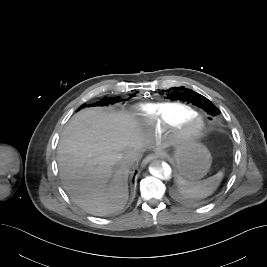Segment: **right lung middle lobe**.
<instances>
[{
  "mask_svg": "<svg viewBox=\"0 0 267 267\" xmlns=\"http://www.w3.org/2000/svg\"><path fill=\"white\" fill-rule=\"evenodd\" d=\"M118 101H120V99L118 97H116V98H106L105 97V98H103L102 101L97 102L96 106H98V105H100V106L109 105V104L116 103ZM92 105H94V104H92Z\"/></svg>",
  "mask_w": 267,
  "mask_h": 267,
  "instance_id": "dd1d6c3e",
  "label": "right lung middle lobe"
}]
</instances>
